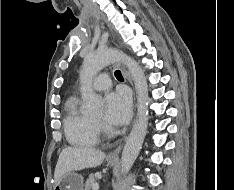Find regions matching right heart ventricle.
Here are the masks:
<instances>
[{"instance_id": "obj_1", "label": "right heart ventricle", "mask_w": 234, "mask_h": 190, "mask_svg": "<svg viewBox=\"0 0 234 190\" xmlns=\"http://www.w3.org/2000/svg\"><path fill=\"white\" fill-rule=\"evenodd\" d=\"M64 131L68 142L76 147H93L99 142V131L94 120L84 114L76 96L65 103Z\"/></svg>"}]
</instances>
